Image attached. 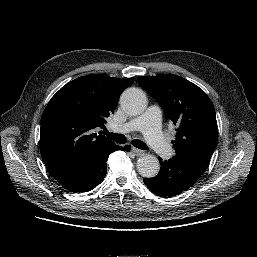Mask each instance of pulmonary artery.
I'll return each mask as SVG.
<instances>
[{"mask_svg": "<svg viewBox=\"0 0 257 257\" xmlns=\"http://www.w3.org/2000/svg\"><path fill=\"white\" fill-rule=\"evenodd\" d=\"M160 114V108L152 105L141 116L124 124L114 123L112 128L122 133L141 131L158 156L169 158L172 156L173 150L161 131Z\"/></svg>", "mask_w": 257, "mask_h": 257, "instance_id": "1", "label": "pulmonary artery"}]
</instances>
